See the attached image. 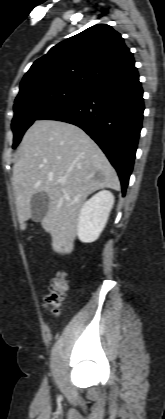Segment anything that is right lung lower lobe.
I'll use <instances>...</instances> for the list:
<instances>
[{
	"label": "right lung lower lobe",
	"mask_w": 165,
	"mask_h": 419,
	"mask_svg": "<svg viewBox=\"0 0 165 419\" xmlns=\"http://www.w3.org/2000/svg\"><path fill=\"white\" fill-rule=\"evenodd\" d=\"M143 90L135 66L74 102L41 119L82 128L100 146L116 169L125 195L142 128Z\"/></svg>",
	"instance_id": "1"
}]
</instances>
